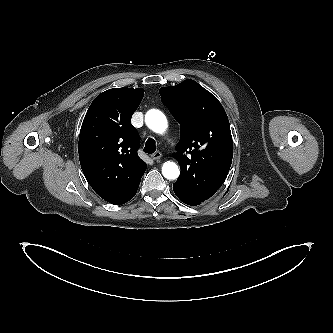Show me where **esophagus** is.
<instances>
[{
	"label": "esophagus",
	"mask_w": 333,
	"mask_h": 333,
	"mask_svg": "<svg viewBox=\"0 0 333 333\" xmlns=\"http://www.w3.org/2000/svg\"><path fill=\"white\" fill-rule=\"evenodd\" d=\"M162 157V154H161V152H159V151H156V152H154L152 155H151V158L153 159V160H158V159H160Z\"/></svg>",
	"instance_id": "34e87169"
}]
</instances>
